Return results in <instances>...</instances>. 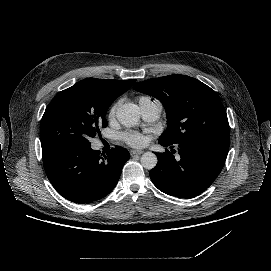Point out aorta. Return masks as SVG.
<instances>
[{"mask_svg":"<svg viewBox=\"0 0 271 271\" xmlns=\"http://www.w3.org/2000/svg\"><path fill=\"white\" fill-rule=\"evenodd\" d=\"M116 117L125 127H134L140 119V109L132 103H125L117 109ZM141 165L147 169H153L158 162L157 156L152 152H145L140 159Z\"/></svg>","mask_w":271,"mask_h":271,"instance_id":"obj_1","label":"aorta"}]
</instances>
